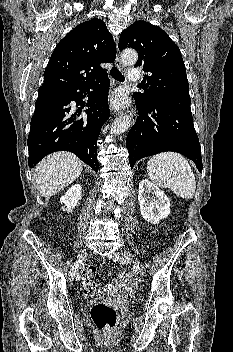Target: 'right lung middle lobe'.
<instances>
[{"label": "right lung middle lobe", "instance_id": "obj_1", "mask_svg": "<svg viewBox=\"0 0 233 352\" xmlns=\"http://www.w3.org/2000/svg\"><path fill=\"white\" fill-rule=\"evenodd\" d=\"M70 92V90H66L63 88H39L38 98H45V97H55V96H63Z\"/></svg>", "mask_w": 233, "mask_h": 352}]
</instances>
